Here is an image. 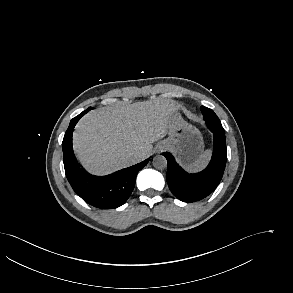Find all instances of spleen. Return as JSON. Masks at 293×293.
I'll return each mask as SVG.
<instances>
[{
	"mask_svg": "<svg viewBox=\"0 0 293 293\" xmlns=\"http://www.w3.org/2000/svg\"><path fill=\"white\" fill-rule=\"evenodd\" d=\"M210 150H206L202 153L190 166H188V170L191 172H197L202 170L208 163L210 159Z\"/></svg>",
	"mask_w": 293,
	"mask_h": 293,
	"instance_id": "obj_1",
	"label": "spleen"
}]
</instances>
